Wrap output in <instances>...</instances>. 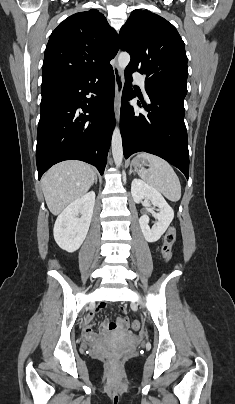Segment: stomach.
Returning <instances> with one entry per match:
<instances>
[{"mask_svg":"<svg viewBox=\"0 0 235 404\" xmlns=\"http://www.w3.org/2000/svg\"><path fill=\"white\" fill-rule=\"evenodd\" d=\"M146 165H147L146 160L137 156L136 158L133 159L131 163V168L133 167L136 172H139L145 170L144 166Z\"/></svg>","mask_w":235,"mask_h":404,"instance_id":"0dacf381","label":"stomach"}]
</instances>
